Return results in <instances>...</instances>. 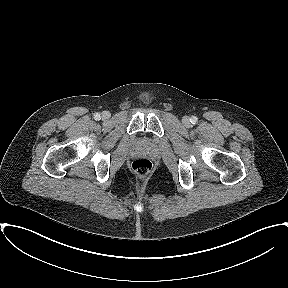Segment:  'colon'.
Returning a JSON list of instances; mask_svg holds the SVG:
<instances>
[{"instance_id":"5ec220e1","label":"colon","mask_w":288,"mask_h":288,"mask_svg":"<svg viewBox=\"0 0 288 288\" xmlns=\"http://www.w3.org/2000/svg\"><path fill=\"white\" fill-rule=\"evenodd\" d=\"M132 170L138 176H145L152 170V163L145 158H139L132 162Z\"/></svg>"}]
</instances>
